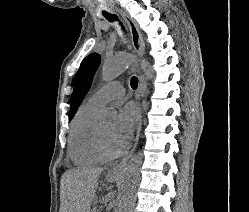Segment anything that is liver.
<instances>
[{
	"label": "liver",
	"mask_w": 249,
	"mask_h": 212,
	"mask_svg": "<svg viewBox=\"0 0 249 212\" xmlns=\"http://www.w3.org/2000/svg\"><path fill=\"white\" fill-rule=\"evenodd\" d=\"M105 168L69 170L64 176L67 190V212H90L96 196L99 176ZM117 174H107V182H115Z\"/></svg>",
	"instance_id": "liver-1"
}]
</instances>
